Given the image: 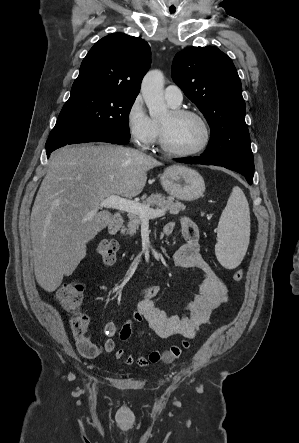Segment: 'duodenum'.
<instances>
[{"mask_svg":"<svg viewBox=\"0 0 299 443\" xmlns=\"http://www.w3.org/2000/svg\"><path fill=\"white\" fill-rule=\"evenodd\" d=\"M123 224V217L120 214H116L109 222L108 229L111 234H116Z\"/></svg>","mask_w":299,"mask_h":443,"instance_id":"410a0bca","label":"duodenum"}]
</instances>
